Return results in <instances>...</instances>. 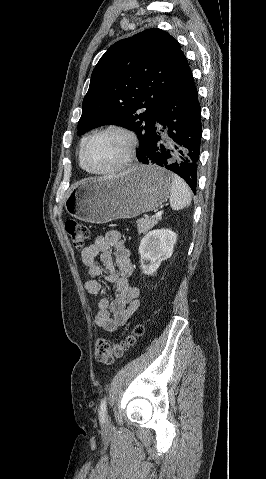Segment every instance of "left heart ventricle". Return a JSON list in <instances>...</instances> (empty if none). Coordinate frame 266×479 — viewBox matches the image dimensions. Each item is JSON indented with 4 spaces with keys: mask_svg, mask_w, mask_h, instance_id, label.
Instances as JSON below:
<instances>
[{
    "mask_svg": "<svg viewBox=\"0 0 266 479\" xmlns=\"http://www.w3.org/2000/svg\"><path fill=\"white\" fill-rule=\"evenodd\" d=\"M128 146L126 137L109 132L96 137L87 152L89 165L104 171L115 167L124 157Z\"/></svg>",
    "mask_w": 266,
    "mask_h": 479,
    "instance_id": "left-heart-ventricle-1",
    "label": "left heart ventricle"
}]
</instances>
